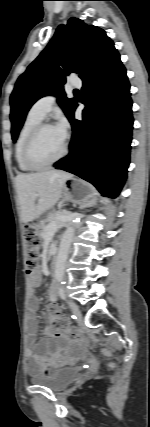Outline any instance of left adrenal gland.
I'll use <instances>...</instances> for the list:
<instances>
[{
	"label": "left adrenal gland",
	"instance_id": "a2214340",
	"mask_svg": "<svg viewBox=\"0 0 150 427\" xmlns=\"http://www.w3.org/2000/svg\"><path fill=\"white\" fill-rule=\"evenodd\" d=\"M93 205H94V203L82 204V205L80 206V209H83V208H86V207H91V206H93Z\"/></svg>",
	"mask_w": 150,
	"mask_h": 427
}]
</instances>
